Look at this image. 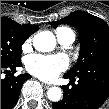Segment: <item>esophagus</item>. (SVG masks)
Masks as SVG:
<instances>
[{"label":"esophagus","mask_w":109,"mask_h":109,"mask_svg":"<svg viewBox=\"0 0 109 109\" xmlns=\"http://www.w3.org/2000/svg\"><path fill=\"white\" fill-rule=\"evenodd\" d=\"M43 87H44L45 89H48V88H50V87H51V85H48V84H43Z\"/></svg>","instance_id":"esophagus-1"}]
</instances>
